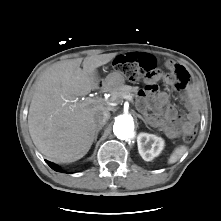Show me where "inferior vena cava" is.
Instances as JSON below:
<instances>
[{
	"instance_id": "obj_1",
	"label": "inferior vena cava",
	"mask_w": 221,
	"mask_h": 221,
	"mask_svg": "<svg viewBox=\"0 0 221 221\" xmlns=\"http://www.w3.org/2000/svg\"><path fill=\"white\" fill-rule=\"evenodd\" d=\"M110 118L109 112H101L95 115V124L97 127H102Z\"/></svg>"
}]
</instances>
